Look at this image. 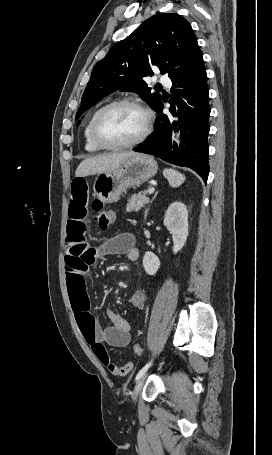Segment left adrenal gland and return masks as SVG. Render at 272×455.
<instances>
[{
	"label": "left adrenal gland",
	"mask_w": 272,
	"mask_h": 455,
	"mask_svg": "<svg viewBox=\"0 0 272 455\" xmlns=\"http://www.w3.org/2000/svg\"><path fill=\"white\" fill-rule=\"evenodd\" d=\"M155 197H156V195L154 196V198H155ZM154 198H153V199H154ZM147 213H148V209H147L146 212H145V217L147 216Z\"/></svg>",
	"instance_id": "a2214340"
}]
</instances>
